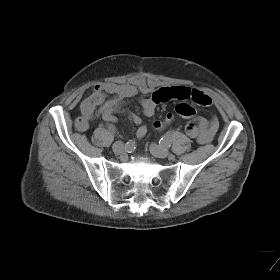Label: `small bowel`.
Segmentation results:
<instances>
[{
    "label": "small bowel",
    "mask_w": 280,
    "mask_h": 280,
    "mask_svg": "<svg viewBox=\"0 0 280 280\" xmlns=\"http://www.w3.org/2000/svg\"><path fill=\"white\" fill-rule=\"evenodd\" d=\"M137 92V88L131 84L105 82L96 85L81 103V117L86 121V126L81 130H85L88 123L97 117L107 122H114L115 114H126L138 126L136 136L143 138L147 133V127L142 118L125 109V101L135 97ZM170 100H189L200 106H210L212 103L208 95L196 89L161 87L153 91L149 97L140 99L142 112L146 117H152L159 104ZM190 126L195 127L194 131H189ZM218 126L216 118L206 119L194 115L186 125V132L199 143L205 144L214 138Z\"/></svg>",
    "instance_id": "small-bowel-1"
}]
</instances>
